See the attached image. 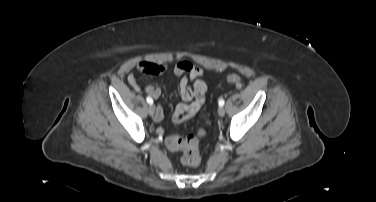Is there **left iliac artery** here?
Returning a JSON list of instances; mask_svg holds the SVG:
<instances>
[{
  "label": "left iliac artery",
  "mask_w": 376,
  "mask_h": 202,
  "mask_svg": "<svg viewBox=\"0 0 376 202\" xmlns=\"http://www.w3.org/2000/svg\"><path fill=\"white\" fill-rule=\"evenodd\" d=\"M225 101L224 99H219V106L222 107L224 105Z\"/></svg>",
  "instance_id": "left-iliac-artery-1"
}]
</instances>
